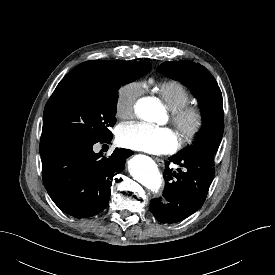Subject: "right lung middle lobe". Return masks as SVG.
I'll return each mask as SVG.
<instances>
[{"mask_svg":"<svg viewBox=\"0 0 275 275\" xmlns=\"http://www.w3.org/2000/svg\"><path fill=\"white\" fill-rule=\"evenodd\" d=\"M151 69L150 62L123 61L110 78L89 77L60 82L43 114L41 143L53 148L88 145L112 138L118 89Z\"/></svg>","mask_w":275,"mask_h":275,"instance_id":"1","label":"right lung middle lobe"}]
</instances>
